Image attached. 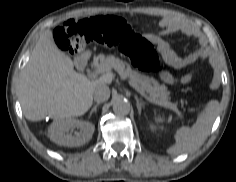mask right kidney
<instances>
[{"label": "right kidney", "instance_id": "ca27d5eb", "mask_svg": "<svg viewBox=\"0 0 236 182\" xmlns=\"http://www.w3.org/2000/svg\"><path fill=\"white\" fill-rule=\"evenodd\" d=\"M95 126L74 118L55 120L49 128V138L58 145L78 147L89 142Z\"/></svg>", "mask_w": 236, "mask_h": 182}]
</instances>
